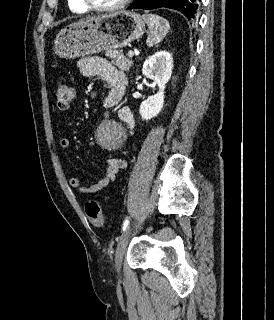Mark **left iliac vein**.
<instances>
[{
  "instance_id": "4c4485c4",
  "label": "left iliac vein",
  "mask_w": 274,
  "mask_h": 320,
  "mask_svg": "<svg viewBox=\"0 0 274 320\" xmlns=\"http://www.w3.org/2000/svg\"><path fill=\"white\" fill-rule=\"evenodd\" d=\"M131 230H132L131 225H129L121 235L117 245L116 254H115V267L118 272L121 269L122 260L126 252Z\"/></svg>"
}]
</instances>
